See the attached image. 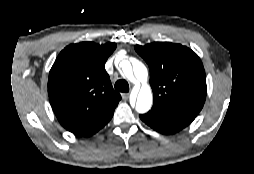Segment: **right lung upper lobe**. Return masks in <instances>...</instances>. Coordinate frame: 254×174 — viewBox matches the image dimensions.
I'll return each mask as SVG.
<instances>
[{"label":"right lung upper lobe","instance_id":"obj_1","mask_svg":"<svg viewBox=\"0 0 254 174\" xmlns=\"http://www.w3.org/2000/svg\"><path fill=\"white\" fill-rule=\"evenodd\" d=\"M115 48V43L82 42L67 46L55 60L48 95L58 121L68 131L104 116L120 101L105 70Z\"/></svg>","mask_w":254,"mask_h":174}]
</instances>
